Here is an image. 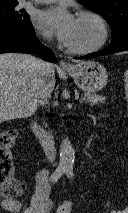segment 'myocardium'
Segmentation results:
<instances>
[{
	"mask_svg": "<svg viewBox=\"0 0 128 213\" xmlns=\"http://www.w3.org/2000/svg\"><path fill=\"white\" fill-rule=\"evenodd\" d=\"M78 18H88L95 21L98 24L100 29V38L95 44L89 47L73 48V47L67 46V50L70 53H74V54H90L100 50L106 44L109 37V28H108V24L106 20L100 14L90 10L80 11L78 13Z\"/></svg>",
	"mask_w": 128,
	"mask_h": 213,
	"instance_id": "1",
	"label": "myocardium"
}]
</instances>
